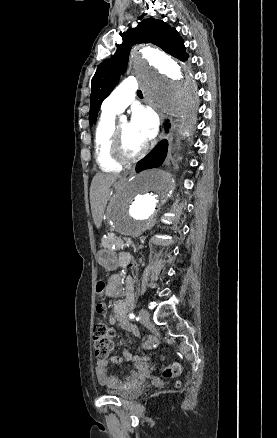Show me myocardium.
<instances>
[{
    "label": "myocardium",
    "mask_w": 277,
    "mask_h": 438,
    "mask_svg": "<svg viewBox=\"0 0 277 438\" xmlns=\"http://www.w3.org/2000/svg\"><path fill=\"white\" fill-rule=\"evenodd\" d=\"M120 124H117L113 127L111 135H110V152L112 155V158L122 164H131L136 161H138L142 155L144 154L145 150H142L139 154L135 156H129L124 149V143L123 138L120 131Z\"/></svg>",
    "instance_id": "obj_1"
}]
</instances>
